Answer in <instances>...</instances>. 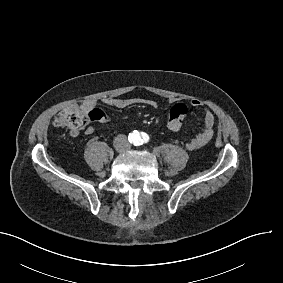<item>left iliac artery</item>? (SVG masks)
<instances>
[{
  "label": "left iliac artery",
  "instance_id": "1",
  "mask_svg": "<svg viewBox=\"0 0 283 283\" xmlns=\"http://www.w3.org/2000/svg\"><path fill=\"white\" fill-rule=\"evenodd\" d=\"M141 137H142V139L139 138V139L135 142V145H136V146H139V145H142L143 143L149 142V136H148V134L142 132V133H141Z\"/></svg>",
  "mask_w": 283,
  "mask_h": 283
}]
</instances>
